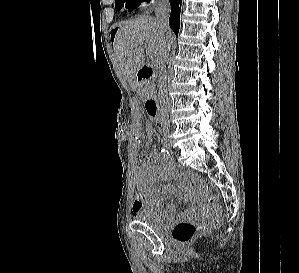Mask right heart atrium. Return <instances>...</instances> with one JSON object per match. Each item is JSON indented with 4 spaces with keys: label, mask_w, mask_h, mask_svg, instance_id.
<instances>
[{
    "label": "right heart atrium",
    "mask_w": 299,
    "mask_h": 273,
    "mask_svg": "<svg viewBox=\"0 0 299 273\" xmlns=\"http://www.w3.org/2000/svg\"><path fill=\"white\" fill-rule=\"evenodd\" d=\"M158 1H160V0H143V2H145L147 4H155Z\"/></svg>",
    "instance_id": "right-heart-atrium-1"
}]
</instances>
